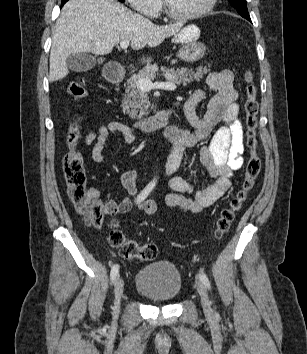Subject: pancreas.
<instances>
[{
  "mask_svg": "<svg viewBox=\"0 0 307 354\" xmlns=\"http://www.w3.org/2000/svg\"><path fill=\"white\" fill-rule=\"evenodd\" d=\"M161 70L168 81H171L177 85H186L194 80L199 81L203 78L204 74H207L210 71L207 67L202 68L201 66L196 68V70L166 67H161ZM157 71L158 66L156 64L148 65L143 69V71L139 72L137 75H132L127 80V88L125 90L126 94L123 99L122 109L123 112L128 114L132 119H141L143 116L147 115V111L150 107L148 94L138 87V79H154Z\"/></svg>",
  "mask_w": 307,
  "mask_h": 354,
  "instance_id": "1",
  "label": "pancreas"
}]
</instances>
